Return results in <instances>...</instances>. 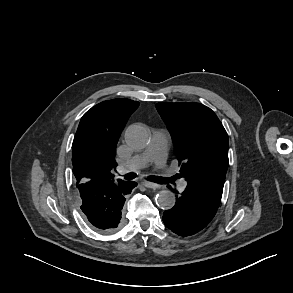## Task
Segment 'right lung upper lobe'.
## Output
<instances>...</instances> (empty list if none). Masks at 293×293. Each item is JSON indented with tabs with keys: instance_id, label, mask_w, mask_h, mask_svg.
Listing matches in <instances>:
<instances>
[{
	"instance_id": "cb5924a9",
	"label": "right lung upper lobe",
	"mask_w": 293,
	"mask_h": 293,
	"mask_svg": "<svg viewBox=\"0 0 293 293\" xmlns=\"http://www.w3.org/2000/svg\"><path fill=\"white\" fill-rule=\"evenodd\" d=\"M138 106L137 101L113 99L83 115L72 144L76 182L114 180L116 145L126 120Z\"/></svg>"
}]
</instances>
